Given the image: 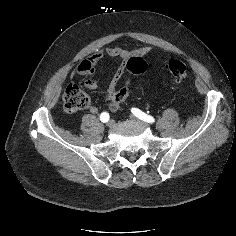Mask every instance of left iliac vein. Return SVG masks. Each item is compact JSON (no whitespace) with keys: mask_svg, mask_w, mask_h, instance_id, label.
Returning <instances> with one entry per match:
<instances>
[{"mask_svg":"<svg viewBox=\"0 0 236 236\" xmlns=\"http://www.w3.org/2000/svg\"><path fill=\"white\" fill-rule=\"evenodd\" d=\"M130 118L133 120V121H137V122H140V120L137 118V117H135V116H130Z\"/></svg>","mask_w":236,"mask_h":236,"instance_id":"1","label":"left iliac vein"}]
</instances>
